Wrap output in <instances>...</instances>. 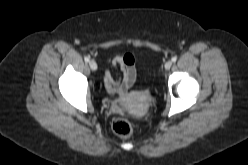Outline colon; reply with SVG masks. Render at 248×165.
<instances>
[{"instance_id": "obj_1", "label": "colon", "mask_w": 248, "mask_h": 165, "mask_svg": "<svg viewBox=\"0 0 248 165\" xmlns=\"http://www.w3.org/2000/svg\"><path fill=\"white\" fill-rule=\"evenodd\" d=\"M112 130L120 137L128 138L133 133V127L130 121L123 117L115 118L112 122Z\"/></svg>"}]
</instances>
